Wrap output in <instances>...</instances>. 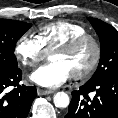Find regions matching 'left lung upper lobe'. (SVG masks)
I'll return each instance as SVG.
<instances>
[{
    "label": "left lung upper lobe",
    "mask_w": 118,
    "mask_h": 118,
    "mask_svg": "<svg viewBox=\"0 0 118 118\" xmlns=\"http://www.w3.org/2000/svg\"><path fill=\"white\" fill-rule=\"evenodd\" d=\"M101 44V56L98 68L90 83L101 81L105 78L118 75V31L111 25L96 18H88Z\"/></svg>",
    "instance_id": "1"
}]
</instances>
